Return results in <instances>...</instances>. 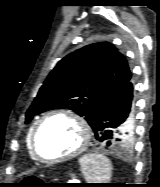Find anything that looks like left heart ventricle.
I'll use <instances>...</instances> for the list:
<instances>
[{"label": "left heart ventricle", "instance_id": "b2bd125f", "mask_svg": "<svg viewBox=\"0 0 160 187\" xmlns=\"http://www.w3.org/2000/svg\"><path fill=\"white\" fill-rule=\"evenodd\" d=\"M82 140V131L68 116H53L39 130L37 148L44 158H55L76 149Z\"/></svg>", "mask_w": 160, "mask_h": 187}]
</instances>
